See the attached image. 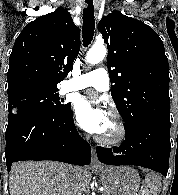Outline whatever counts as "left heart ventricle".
<instances>
[{
  "label": "left heart ventricle",
  "mask_w": 178,
  "mask_h": 195,
  "mask_svg": "<svg viewBox=\"0 0 178 195\" xmlns=\"http://www.w3.org/2000/svg\"><path fill=\"white\" fill-rule=\"evenodd\" d=\"M115 133H116V126H115L114 120L112 119L111 116L108 115V118L105 124L103 125L99 133V136L103 138H111L115 135Z\"/></svg>",
  "instance_id": "left-heart-ventricle-1"
}]
</instances>
